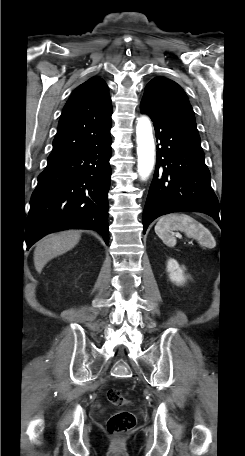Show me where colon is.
<instances>
[{
    "mask_svg": "<svg viewBox=\"0 0 245 456\" xmlns=\"http://www.w3.org/2000/svg\"><path fill=\"white\" fill-rule=\"evenodd\" d=\"M108 401L117 407L128 404V400L119 389L111 388L107 392ZM136 424L135 415L128 410H119L111 415L107 421V430L112 435H121L131 430Z\"/></svg>",
    "mask_w": 245,
    "mask_h": 456,
    "instance_id": "colon-1",
    "label": "colon"
}]
</instances>
